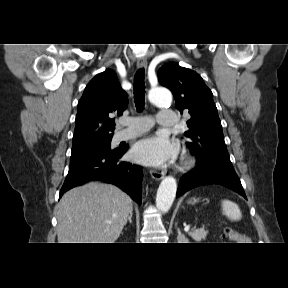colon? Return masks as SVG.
Here are the masks:
<instances>
[{
  "mask_svg": "<svg viewBox=\"0 0 288 288\" xmlns=\"http://www.w3.org/2000/svg\"><path fill=\"white\" fill-rule=\"evenodd\" d=\"M221 230L223 238L230 242L237 241L240 239L239 234L228 226L222 225Z\"/></svg>",
  "mask_w": 288,
  "mask_h": 288,
  "instance_id": "5ec220e1",
  "label": "colon"
}]
</instances>
